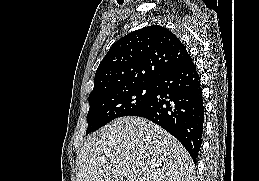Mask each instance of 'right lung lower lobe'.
<instances>
[{
    "label": "right lung lower lobe",
    "instance_id": "right-lung-lower-lobe-1",
    "mask_svg": "<svg viewBox=\"0 0 259 181\" xmlns=\"http://www.w3.org/2000/svg\"><path fill=\"white\" fill-rule=\"evenodd\" d=\"M153 86L149 99L130 116L146 118L164 128L196 162L202 142L204 106L200 77L190 55L161 73Z\"/></svg>",
    "mask_w": 259,
    "mask_h": 181
}]
</instances>
